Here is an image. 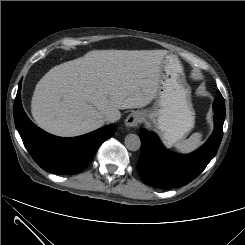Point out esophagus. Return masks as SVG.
Instances as JSON below:
<instances>
[{
	"instance_id": "1",
	"label": "esophagus",
	"mask_w": 245,
	"mask_h": 245,
	"mask_svg": "<svg viewBox=\"0 0 245 245\" xmlns=\"http://www.w3.org/2000/svg\"><path fill=\"white\" fill-rule=\"evenodd\" d=\"M143 120V115L140 112H132L129 114L125 120V125L127 127H136Z\"/></svg>"
}]
</instances>
